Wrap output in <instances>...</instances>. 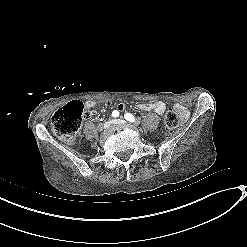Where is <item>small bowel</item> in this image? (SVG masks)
I'll return each mask as SVG.
<instances>
[{"instance_id": "small-bowel-1", "label": "small bowel", "mask_w": 247, "mask_h": 247, "mask_svg": "<svg viewBox=\"0 0 247 247\" xmlns=\"http://www.w3.org/2000/svg\"><path fill=\"white\" fill-rule=\"evenodd\" d=\"M94 107L95 105L91 104L89 100L84 103V109L86 111ZM137 108L144 112H154L158 115H163L166 110V105L161 101H155V102L141 103L137 105ZM175 108L179 114L180 120H185L188 117V111L186 110L185 107H183L180 104H177ZM123 109H124V105L122 103L118 104L116 107V110L119 112L123 111Z\"/></svg>"}]
</instances>
